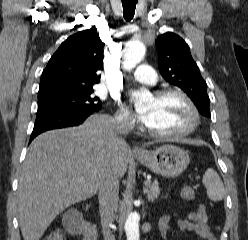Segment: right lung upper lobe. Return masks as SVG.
<instances>
[{
  "instance_id": "cb5924a9",
  "label": "right lung upper lobe",
  "mask_w": 248,
  "mask_h": 240,
  "mask_svg": "<svg viewBox=\"0 0 248 240\" xmlns=\"http://www.w3.org/2000/svg\"><path fill=\"white\" fill-rule=\"evenodd\" d=\"M103 47L96 28L70 36L49 60L44 69L39 96L77 92L100 82Z\"/></svg>"
}]
</instances>
